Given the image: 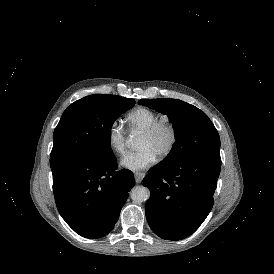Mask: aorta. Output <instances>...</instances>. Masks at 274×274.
Masks as SVG:
<instances>
[{
	"mask_svg": "<svg viewBox=\"0 0 274 274\" xmlns=\"http://www.w3.org/2000/svg\"><path fill=\"white\" fill-rule=\"evenodd\" d=\"M129 145H133V139H129ZM131 199L136 203L145 202L149 199L150 191L144 186H135L130 192Z\"/></svg>",
	"mask_w": 274,
	"mask_h": 274,
	"instance_id": "aorta-1",
	"label": "aorta"
}]
</instances>
